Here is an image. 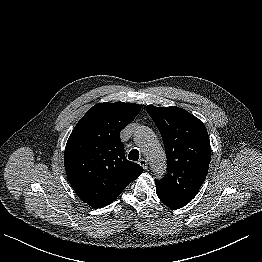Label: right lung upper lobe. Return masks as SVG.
I'll return each mask as SVG.
<instances>
[{
    "label": "right lung upper lobe",
    "mask_w": 262,
    "mask_h": 262,
    "mask_svg": "<svg viewBox=\"0 0 262 262\" xmlns=\"http://www.w3.org/2000/svg\"><path fill=\"white\" fill-rule=\"evenodd\" d=\"M134 103L94 105L74 127L65 148L67 177L78 197L92 206L109 205L143 168L125 158L120 132L139 113Z\"/></svg>",
    "instance_id": "1"
}]
</instances>
